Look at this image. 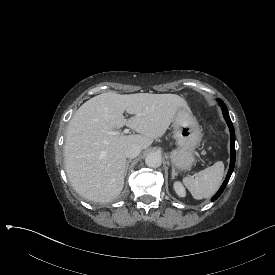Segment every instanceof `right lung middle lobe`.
I'll return each mask as SVG.
<instances>
[{
    "label": "right lung middle lobe",
    "instance_id": "obj_1",
    "mask_svg": "<svg viewBox=\"0 0 275 275\" xmlns=\"http://www.w3.org/2000/svg\"><path fill=\"white\" fill-rule=\"evenodd\" d=\"M125 195H126V192L122 191L120 194L114 196L113 198H100L99 200L98 199H92L91 203L92 204H98L99 202L104 203V204L114 203L115 201H119Z\"/></svg>",
    "mask_w": 275,
    "mask_h": 275
}]
</instances>
